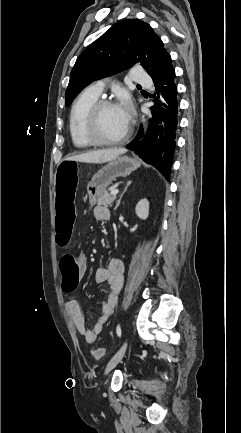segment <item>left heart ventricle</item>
I'll return each mask as SVG.
<instances>
[{
    "mask_svg": "<svg viewBox=\"0 0 241 433\" xmlns=\"http://www.w3.org/2000/svg\"><path fill=\"white\" fill-rule=\"evenodd\" d=\"M119 107L109 106L102 110L98 121V132L107 139H114L121 136L127 128Z\"/></svg>",
    "mask_w": 241,
    "mask_h": 433,
    "instance_id": "b2bd125f",
    "label": "left heart ventricle"
}]
</instances>
